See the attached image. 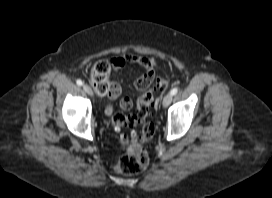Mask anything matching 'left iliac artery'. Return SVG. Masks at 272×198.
I'll list each match as a JSON object with an SVG mask.
<instances>
[{
    "label": "left iliac artery",
    "instance_id": "obj_1",
    "mask_svg": "<svg viewBox=\"0 0 272 198\" xmlns=\"http://www.w3.org/2000/svg\"><path fill=\"white\" fill-rule=\"evenodd\" d=\"M178 92V88H173L171 91H170V94L173 96L175 94H177Z\"/></svg>",
    "mask_w": 272,
    "mask_h": 198
}]
</instances>
